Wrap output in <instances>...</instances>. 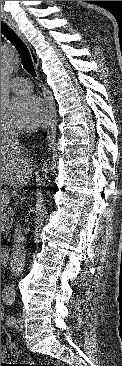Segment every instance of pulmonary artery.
<instances>
[{
	"mask_svg": "<svg viewBox=\"0 0 122 366\" xmlns=\"http://www.w3.org/2000/svg\"><path fill=\"white\" fill-rule=\"evenodd\" d=\"M9 87L17 94L28 93L32 89L30 81L22 77L13 78L9 83Z\"/></svg>",
	"mask_w": 122,
	"mask_h": 366,
	"instance_id": "e3ab8cb5",
	"label": "pulmonary artery"
}]
</instances>
